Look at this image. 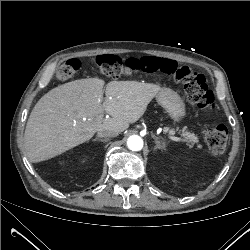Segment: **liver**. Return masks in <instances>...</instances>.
I'll use <instances>...</instances> for the list:
<instances>
[{
	"label": "liver",
	"instance_id": "6515ba94",
	"mask_svg": "<svg viewBox=\"0 0 250 250\" xmlns=\"http://www.w3.org/2000/svg\"><path fill=\"white\" fill-rule=\"evenodd\" d=\"M87 78L53 88L34 106L25 129L26 154L33 163L57 156L102 129L125 131L139 120L161 87L137 81ZM107 113L110 118H103Z\"/></svg>",
	"mask_w": 250,
	"mask_h": 250
}]
</instances>
